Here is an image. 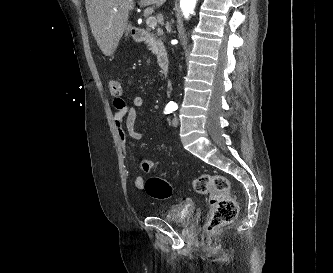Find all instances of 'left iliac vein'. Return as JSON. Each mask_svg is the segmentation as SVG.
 Segmentation results:
<instances>
[{
    "mask_svg": "<svg viewBox=\"0 0 333 273\" xmlns=\"http://www.w3.org/2000/svg\"><path fill=\"white\" fill-rule=\"evenodd\" d=\"M172 125H173L174 127H177V126L179 125V120H178L176 117L173 118V120H172Z\"/></svg>",
    "mask_w": 333,
    "mask_h": 273,
    "instance_id": "1",
    "label": "left iliac vein"
}]
</instances>
